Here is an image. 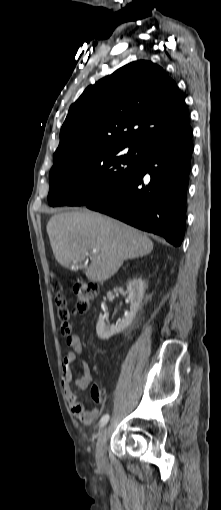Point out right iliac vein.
<instances>
[{"mask_svg":"<svg viewBox=\"0 0 221 510\" xmlns=\"http://www.w3.org/2000/svg\"><path fill=\"white\" fill-rule=\"evenodd\" d=\"M107 440V428H103L99 434L96 449V460L98 465L103 466L105 464V444Z\"/></svg>","mask_w":221,"mask_h":510,"instance_id":"right-iliac-vein-1","label":"right iliac vein"}]
</instances>
